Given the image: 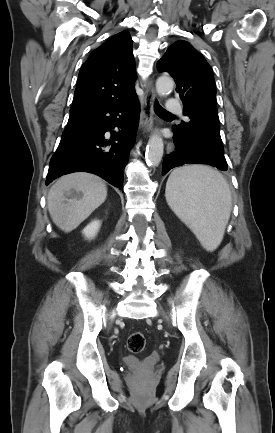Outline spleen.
Listing matches in <instances>:
<instances>
[{
	"instance_id": "spleen-1",
	"label": "spleen",
	"mask_w": 275,
	"mask_h": 433,
	"mask_svg": "<svg viewBox=\"0 0 275 433\" xmlns=\"http://www.w3.org/2000/svg\"><path fill=\"white\" fill-rule=\"evenodd\" d=\"M165 196L175 214L193 231L207 251L221 243L230 218L232 197L223 175L205 165L172 171Z\"/></svg>"
}]
</instances>
